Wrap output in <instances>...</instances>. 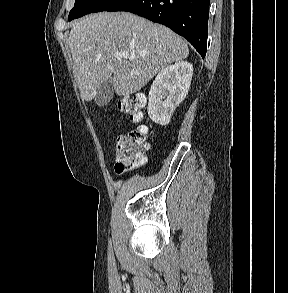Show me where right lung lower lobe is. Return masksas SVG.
Returning a JSON list of instances; mask_svg holds the SVG:
<instances>
[{"instance_id": "right-lung-lower-lobe-1", "label": "right lung lower lobe", "mask_w": 288, "mask_h": 293, "mask_svg": "<svg viewBox=\"0 0 288 293\" xmlns=\"http://www.w3.org/2000/svg\"><path fill=\"white\" fill-rule=\"evenodd\" d=\"M210 0H118L105 11H127L163 24L205 57Z\"/></svg>"}]
</instances>
